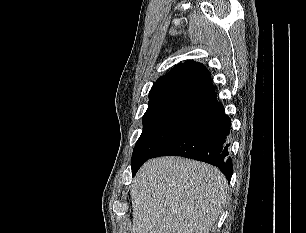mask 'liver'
Masks as SVG:
<instances>
[{"instance_id":"obj_1","label":"liver","mask_w":306,"mask_h":233,"mask_svg":"<svg viewBox=\"0 0 306 233\" xmlns=\"http://www.w3.org/2000/svg\"><path fill=\"white\" fill-rule=\"evenodd\" d=\"M225 176L209 164L162 157L136 174L131 233H209L227 201Z\"/></svg>"}]
</instances>
